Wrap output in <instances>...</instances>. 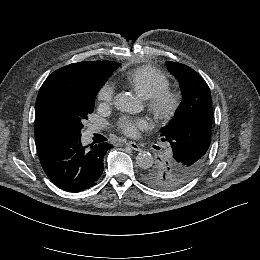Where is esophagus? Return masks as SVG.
<instances>
[{
	"label": "esophagus",
	"mask_w": 260,
	"mask_h": 260,
	"mask_svg": "<svg viewBox=\"0 0 260 260\" xmlns=\"http://www.w3.org/2000/svg\"><path fill=\"white\" fill-rule=\"evenodd\" d=\"M128 146L130 148H132L133 150L137 151V152H141L142 151L141 147L137 143H135L133 141H129L128 142Z\"/></svg>",
	"instance_id": "esophagus-1"
}]
</instances>
